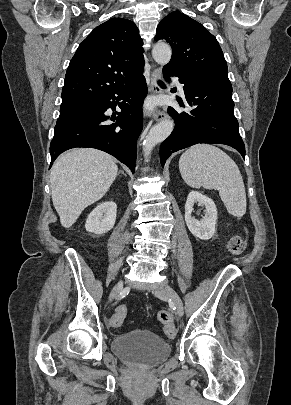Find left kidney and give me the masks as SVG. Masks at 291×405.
I'll return each mask as SVG.
<instances>
[{
	"instance_id": "1",
	"label": "left kidney",
	"mask_w": 291,
	"mask_h": 405,
	"mask_svg": "<svg viewBox=\"0 0 291 405\" xmlns=\"http://www.w3.org/2000/svg\"><path fill=\"white\" fill-rule=\"evenodd\" d=\"M195 203L205 206L206 213L201 220H197L191 216ZM185 221L189 231L195 237L202 240L212 238L217 222V208L213 200L200 192L191 191L185 204Z\"/></svg>"
}]
</instances>
